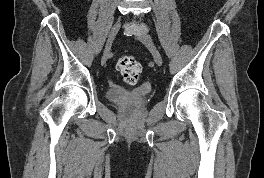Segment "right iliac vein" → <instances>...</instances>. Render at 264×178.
Returning <instances> with one entry per match:
<instances>
[{
  "label": "right iliac vein",
  "instance_id": "63e3f726",
  "mask_svg": "<svg viewBox=\"0 0 264 178\" xmlns=\"http://www.w3.org/2000/svg\"><path fill=\"white\" fill-rule=\"evenodd\" d=\"M120 29V21H117L114 26L112 27L110 33H109V36H108V39H107V42H106V46H105V49H104V53H103V58H102V64L106 62V60L108 59L109 57V54H110V49H111V45L118 33Z\"/></svg>",
  "mask_w": 264,
  "mask_h": 178
}]
</instances>
